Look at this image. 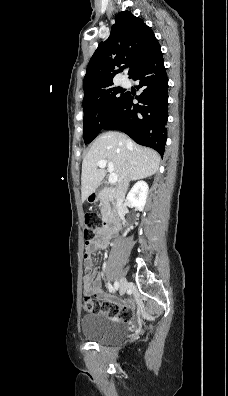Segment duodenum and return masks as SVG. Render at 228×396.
Segmentation results:
<instances>
[{
  "instance_id": "obj_1",
  "label": "duodenum",
  "mask_w": 228,
  "mask_h": 396,
  "mask_svg": "<svg viewBox=\"0 0 228 396\" xmlns=\"http://www.w3.org/2000/svg\"><path fill=\"white\" fill-rule=\"evenodd\" d=\"M103 191V186H100L98 190L95 192L94 196L97 198ZM121 222L120 216L117 210L112 211L109 213L104 222V229L108 233L114 235L120 230Z\"/></svg>"
}]
</instances>
